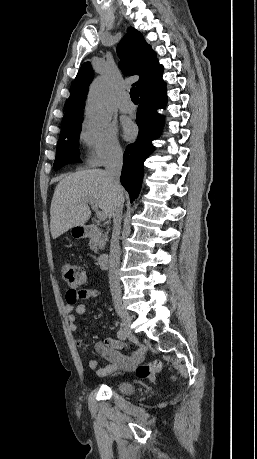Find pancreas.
Returning <instances> with one entry per match:
<instances>
[{
	"mask_svg": "<svg viewBox=\"0 0 257 459\" xmlns=\"http://www.w3.org/2000/svg\"><path fill=\"white\" fill-rule=\"evenodd\" d=\"M107 234L108 233H103V231H98L96 234H93L89 241L90 249L94 252L102 249L105 245Z\"/></svg>",
	"mask_w": 257,
	"mask_h": 459,
	"instance_id": "cf45deb5",
	"label": "pancreas"
}]
</instances>
